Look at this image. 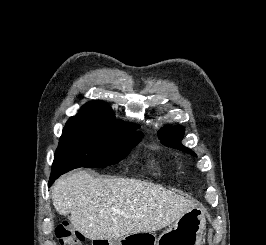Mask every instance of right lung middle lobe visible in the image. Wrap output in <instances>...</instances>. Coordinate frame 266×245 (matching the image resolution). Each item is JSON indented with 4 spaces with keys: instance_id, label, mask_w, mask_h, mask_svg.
Segmentation results:
<instances>
[{
    "instance_id": "obj_1",
    "label": "right lung middle lobe",
    "mask_w": 266,
    "mask_h": 245,
    "mask_svg": "<svg viewBox=\"0 0 266 245\" xmlns=\"http://www.w3.org/2000/svg\"><path fill=\"white\" fill-rule=\"evenodd\" d=\"M139 127L94 118H70L63 129L51 174L118 163L142 139L143 133L135 131Z\"/></svg>"
}]
</instances>
